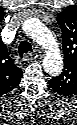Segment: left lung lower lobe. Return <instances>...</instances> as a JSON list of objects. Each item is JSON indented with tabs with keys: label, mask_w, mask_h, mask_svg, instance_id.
Wrapping results in <instances>:
<instances>
[{
	"label": "left lung lower lobe",
	"mask_w": 77,
	"mask_h": 125,
	"mask_svg": "<svg viewBox=\"0 0 77 125\" xmlns=\"http://www.w3.org/2000/svg\"><path fill=\"white\" fill-rule=\"evenodd\" d=\"M50 86L56 90L57 92H61L60 88L61 86H58L57 84H60V82H53L52 79L49 82Z\"/></svg>",
	"instance_id": "obj_1"
}]
</instances>
